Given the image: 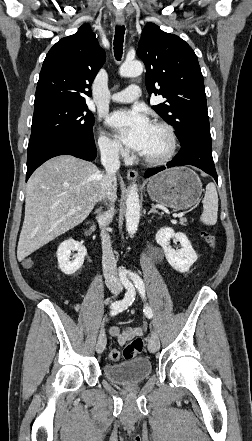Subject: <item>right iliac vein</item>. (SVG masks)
<instances>
[{
  "mask_svg": "<svg viewBox=\"0 0 252 441\" xmlns=\"http://www.w3.org/2000/svg\"><path fill=\"white\" fill-rule=\"evenodd\" d=\"M113 293L117 295L118 290H113ZM105 345H106V337H105V332L102 329L100 332L99 341H98V344L96 347V351L98 354H101L104 351Z\"/></svg>",
  "mask_w": 252,
  "mask_h": 441,
  "instance_id": "1",
  "label": "right iliac vein"
}]
</instances>
